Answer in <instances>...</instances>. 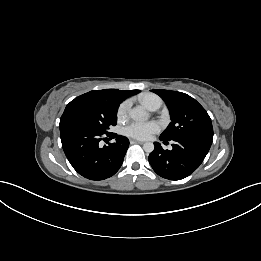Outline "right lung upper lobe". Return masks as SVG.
Segmentation results:
<instances>
[{"instance_id":"cb5924a9","label":"right lung upper lobe","mask_w":261,"mask_h":261,"mask_svg":"<svg viewBox=\"0 0 261 261\" xmlns=\"http://www.w3.org/2000/svg\"><path fill=\"white\" fill-rule=\"evenodd\" d=\"M97 91H101L108 94L119 104L126 98L139 92V90H118V89H104V90H97Z\"/></svg>"}]
</instances>
